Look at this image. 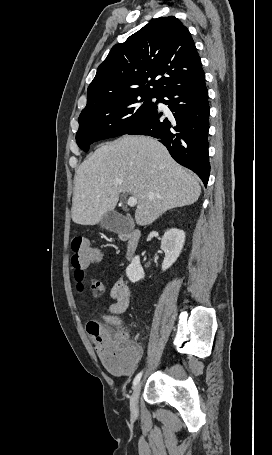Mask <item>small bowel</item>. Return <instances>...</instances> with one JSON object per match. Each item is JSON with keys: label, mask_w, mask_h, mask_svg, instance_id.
Listing matches in <instances>:
<instances>
[{"label": "small bowel", "mask_w": 272, "mask_h": 455, "mask_svg": "<svg viewBox=\"0 0 272 455\" xmlns=\"http://www.w3.org/2000/svg\"><path fill=\"white\" fill-rule=\"evenodd\" d=\"M110 295L113 302L108 307L109 313L111 315L123 314L128 309L130 303V289L126 282L121 278L118 279L113 284ZM118 335L126 339L129 338L128 333L124 331H120ZM141 354V348L136 346V358L130 368L126 370V373H130L135 368L141 358Z\"/></svg>", "instance_id": "small-bowel-1"}]
</instances>
